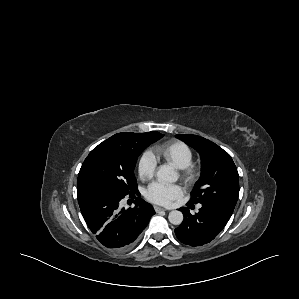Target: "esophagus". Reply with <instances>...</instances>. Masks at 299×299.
Listing matches in <instances>:
<instances>
[{"label":"esophagus","instance_id":"obj_1","mask_svg":"<svg viewBox=\"0 0 299 299\" xmlns=\"http://www.w3.org/2000/svg\"><path fill=\"white\" fill-rule=\"evenodd\" d=\"M154 210H155L156 212H159V211H166L165 208H162V207H159V206H154Z\"/></svg>","mask_w":299,"mask_h":299}]
</instances>
